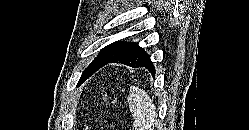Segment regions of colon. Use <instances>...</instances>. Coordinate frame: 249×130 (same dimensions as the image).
I'll list each match as a JSON object with an SVG mask.
<instances>
[{
	"instance_id": "colon-1",
	"label": "colon",
	"mask_w": 249,
	"mask_h": 130,
	"mask_svg": "<svg viewBox=\"0 0 249 130\" xmlns=\"http://www.w3.org/2000/svg\"><path fill=\"white\" fill-rule=\"evenodd\" d=\"M90 128H89V126H87V130H89Z\"/></svg>"
}]
</instances>
